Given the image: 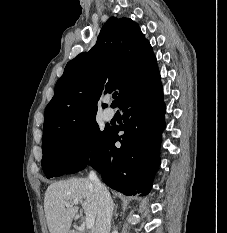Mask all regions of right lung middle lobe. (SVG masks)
I'll return each instance as SVG.
<instances>
[{
	"instance_id": "dd1d6c3e",
	"label": "right lung middle lobe",
	"mask_w": 227,
	"mask_h": 233,
	"mask_svg": "<svg viewBox=\"0 0 227 233\" xmlns=\"http://www.w3.org/2000/svg\"><path fill=\"white\" fill-rule=\"evenodd\" d=\"M109 129L100 131L95 120L85 123L43 145L42 168L47 178L84 169L92 160Z\"/></svg>"
}]
</instances>
